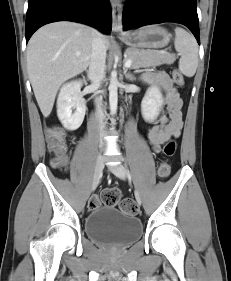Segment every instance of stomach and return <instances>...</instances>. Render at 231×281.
<instances>
[{
  "instance_id": "1",
  "label": "stomach",
  "mask_w": 231,
  "mask_h": 281,
  "mask_svg": "<svg viewBox=\"0 0 231 281\" xmlns=\"http://www.w3.org/2000/svg\"><path fill=\"white\" fill-rule=\"evenodd\" d=\"M123 42L132 48H163L168 45L171 35L157 25H149L122 35Z\"/></svg>"
}]
</instances>
